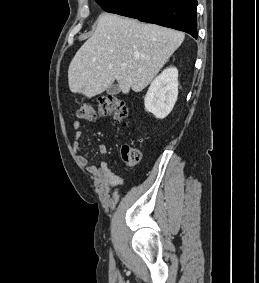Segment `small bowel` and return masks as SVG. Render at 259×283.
Listing matches in <instances>:
<instances>
[{
  "instance_id": "obj_1",
  "label": "small bowel",
  "mask_w": 259,
  "mask_h": 283,
  "mask_svg": "<svg viewBox=\"0 0 259 283\" xmlns=\"http://www.w3.org/2000/svg\"><path fill=\"white\" fill-rule=\"evenodd\" d=\"M72 126L74 129V149L78 151L80 149V139L82 137L81 123L80 121L75 120ZM99 153L106 156L108 154V148L105 145H100ZM76 160L80 166L84 167L88 173L95 177L99 188H116L123 184V180L112 171L111 166L107 162L102 161L96 166L91 164L89 160L81 154L76 156Z\"/></svg>"
}]
</instances>
